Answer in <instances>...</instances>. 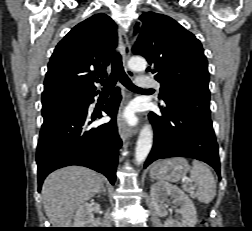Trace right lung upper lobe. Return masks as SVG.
Instances as JSON below:
<instances>
[{
	"instance_id": "obj_1",
	"label": "right lung upper lobe",
	"mask_w": 252,
	"mask_h": 231,
	"mask_svg": "<svg viewBox=\"0 0 252 231\" xmlns=\"http://www.w3.org/2000/svg\"><path fill=\"white\" fill-rule=\"evenodd\" d=\"M117 43V26L99 13L76 25L58 43L48 64L42 101L98 93Z\"/></svg>"
}]
</instances>
